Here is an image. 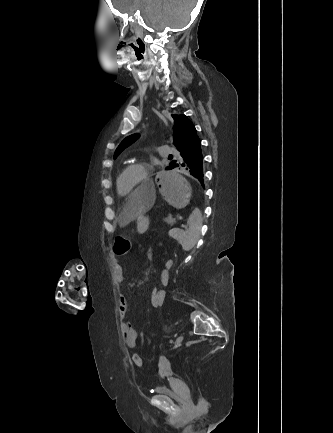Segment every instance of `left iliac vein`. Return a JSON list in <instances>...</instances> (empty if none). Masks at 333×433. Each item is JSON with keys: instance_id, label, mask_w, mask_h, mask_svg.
Masks as SVG:
<instances>
[{"instance_id": "1", "label": "left iliac vein", "mask_w": 333, "mask_h": 433, "mask_svg": "<svg viewBox=\"0 0 333 433\" xmlns=\"http://www.w3.org/2000/svg\"><path fill=\"white\" fill-rule=\"evenodd\" d=\"M184 337L182 335L178 336L175 340V346H179L181 342L183 341Z\"/></svg>"}]
</instances>
